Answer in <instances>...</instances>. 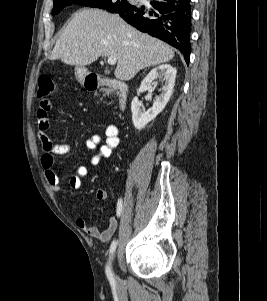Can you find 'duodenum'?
Returning <instances> with one entry per match:
<instances>
[{"label":"duodenum","instance_id":"duodenum-1","mask_svg":"<svg viewBox=\"0 0 267 301\" xmlns=\"http://www.w3.org/2000/svg\"><path fill=\"white\" fill-rule=\"evenodd\" d=\"M85 87L90 91H103L105 93L115 92L117 95V108L124 111L127 104L128 86L120 80L101 79L93 74L84 76Z\"/></svg>","mask_w":267,"mask_h":301}]
</instances>
